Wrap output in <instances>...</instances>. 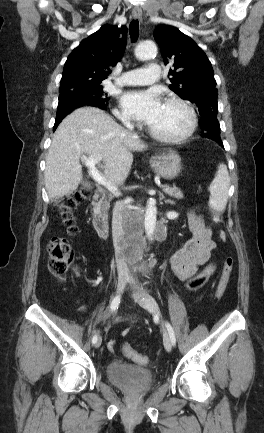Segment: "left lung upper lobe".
<instances>
[{"label": "left lung upper lobe", "mask_w": 264, "mask_h": 433, "mask_svg": "<svg viewBox=\"0 0 264 433\" xmlns=\"http://www.w3.org/2000/svg\"><path fill=\"white\" fill-rule=\"evenodd\" d=\"M165 64L172 65L169 88L194 104L201 116L217 115V88L211 62L198 45L179 29L160 25L154 31ZM204 137L221 140L220 127L202 131Z\"/></svg>", "instance_id": "5c2ea615"}]
</instances>
